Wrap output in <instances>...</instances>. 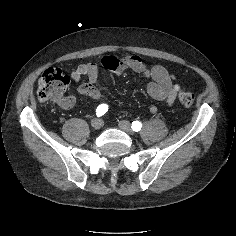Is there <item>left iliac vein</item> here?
I'll use <instances>...</instances> for the list:
<instances>
[{
    "label": "left iliac vein",
    "mask_w": 236,
    "mask_h": 236,
    "mask_svg": "<svg viewBox=\"0 0 236 236\" xmlns=\"http://www.w3.org/2000/svg\"><path fill=\"white\" fill-rule=\"evenodd\" d=\"M118 125H119L120 129H122L123 131H125L129 135H134V131L132 130L131 124L128 121L122 120L119 122Z\"/></svg>",
    "instance_id": "4c4485c4"
}]
</instances>
